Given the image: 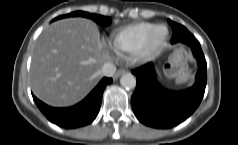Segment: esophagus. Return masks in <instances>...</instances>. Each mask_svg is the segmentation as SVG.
Returning a JSON list of instances; mask_svg holds the SVG:
<instances>
[{
	"instance_id": "34e87169",
	"label": "esophagus",
	"mask_w": 238,
	"mask_h": 145,
	"mask_svg": "<svg viewBox=\"0 0 238 145\" xmlns=\"http://www.w3.org/2000/svg\"><path fill=\"white\" fill-rule=\"evenodd\" d=\"M125 73L124 69H119L116 74L114 75V79H117L118 77H120L122 74Z\"/></svg>"
}]
</instances>
